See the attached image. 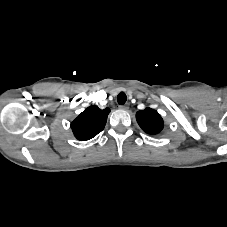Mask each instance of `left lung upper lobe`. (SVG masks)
<instances>
[{"label": "left lung upper lobe", "instance_id": "1", "mask_svg": "<svg viewBox=\"0 0 227 227\" xmlns=\"http://www.w3.org/2000/svg\"><path fill=\"white\" fill-rule=\"evenodd\" d=\"M136 119L142 130L148 134H157L162 131L164 126L162 117L157 111L149 107L142 111H138Z\"/></svg>", "mask_w": 227, "mask_h": 227}]
</instances>
